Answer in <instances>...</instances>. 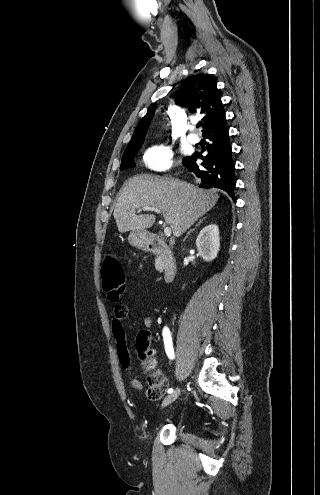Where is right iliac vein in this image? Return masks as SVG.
<instances>
[{
	"mask_svg": "<svg viewBox=\"0 0 320 495\" xmlns=\"http://www.w3.org/2000/svg\"><path fill=\"white\" fill-rule=\"evenodd\" d=\"M179 395H180V389L177 388L175 391H173L172 393H170L169 395H167L165 397V399L162 402L161 408H164V407L168 406L169 404H171L172 402H174L178 398Z\"/></svg>",
	"mask_w": 320,
	"mask_h": 495,
	"instance_id": "1",
	"label": "right iliac vein"
}]
</instances>
